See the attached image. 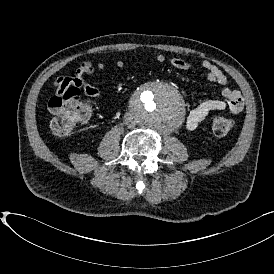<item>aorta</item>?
<instances>
[{"label":"aorta","instance_id":"1","mask_svg":"<svg viewBox=\"0 0 274 274\" xmlns=\"http://www.w3.org/2000/svg\"><path fill=\"white\" fill-rule=\"evenodd\" d=\"M135 121L160 132L172 131L182 121L185 108L179 91L161 81L146 84L131 100Z\"/></svg>","mask_w":274,"mask_h":274}]
</instances>
